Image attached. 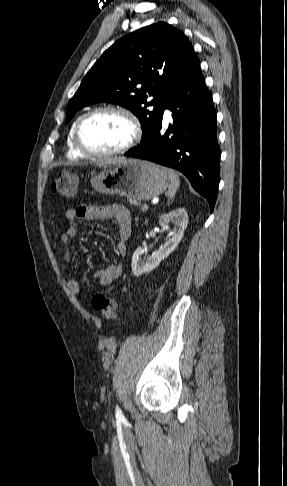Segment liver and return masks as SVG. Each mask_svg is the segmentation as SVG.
Masks as SVG:
<instances>
[{
    "instance_id": "obj_1",
    "label": "liver",
    "mask_w": 287,
    "mask_h": 486,
    "mask_svg": "<svg viewBox=\"0 0 287 486\" xmlns=\"http://www.w3.org/2000/svg\"><path fill=\"white\" fill-rule=\"evenodd\" d=\"M124 159H125V158H115V159H110V160H108V161H107V162H105V163H100V164H99V166H102V165H104V164H106V163H107V164H115V163H117V162L123 161Z\"/></svg>"
}]
</instances>
